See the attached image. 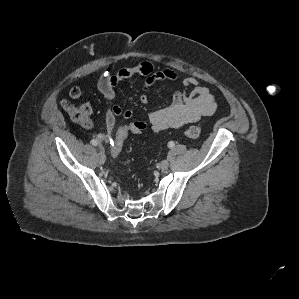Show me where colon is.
<instances>
[{"instance_id":"obj_1","label":"colon","mask_w":299,"mask_h":299,"mask_svg":"<svg viewBox=\"0 0 299 299\" xmlns=\"http://www.w3.org/2000/svg\"><path fill=\"white\" fill-rule=\"evenodd\" d=\"M62 108L70 116V118L82 126L88 127L91 124L90 113L84 107L76 106L70 101L64 100ZM144 131L142 124L135 121H128L115 127L111 134L110 153L116 157L122 150L127 139L132 135H139ZM184 134L190 139H197L202 134V129L198 126H190L185 129Z\"/></svg>"}]
</instances>
